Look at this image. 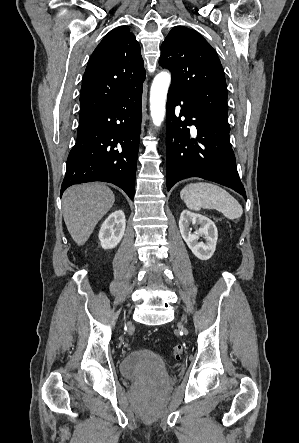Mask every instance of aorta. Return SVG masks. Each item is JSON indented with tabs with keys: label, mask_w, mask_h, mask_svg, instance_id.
<instances>
[{
	"label": "aorta",
	"mask_w": 299,
	"mask_h": 443,
	"mask_svg": "<svg viewBox=\"0 0 299 443\" xmlns=\"http://www.w3.org/2000/svg\"><path fill=\"white\" fill-rule=\"evenodd\" d=\"M170 82L171 75L168 72H161L154 77L150 90V111L155 126H160L164 120Z\"/></svg>",
	"instance_id": "1"
}]
</instances>
